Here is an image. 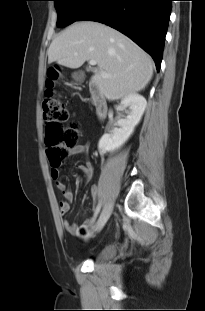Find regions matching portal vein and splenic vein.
Wrapping results in <instances>:
<instances>
[{"label":"portal vein and splenic vein","instance_id":"obj_1","mask_svg":"<svg viewBox=\"0 0 205 311\" xmlns=\"http://www.w3.org/2000/svg\"><path fill=\"white\" fill-rule=\"evenodd\" d=\"M89 63H90L91 65H96V64H97V62H96L95 60H90ZM101 75H102L103 77H109V75H108L106 72H104V71L101 72Z\"/></svg>","mask_w":205,"mask_h":311}]
</instances>
